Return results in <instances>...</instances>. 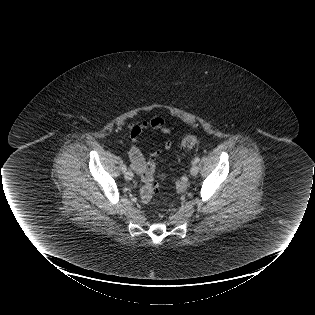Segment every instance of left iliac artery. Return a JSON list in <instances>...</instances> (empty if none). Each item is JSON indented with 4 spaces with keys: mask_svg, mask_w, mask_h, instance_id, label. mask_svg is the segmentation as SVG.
<instances>
[{
    "mask_svg": "<svg viewBox=\"0 0 315 315\" xmlns=\"http://www.w3.org/2000/svg\"><path fill=\"white\" fill-rule=\"evenodd\" d=\"M200 161V158L199 157H196L195 159H194V162L195 163H198Z\"/></svg>",
    "mask_w": 315,
    "mask_h": 315,
    "instance_id": "1",
    "label": "left iliac artery"
}]
</instances>
